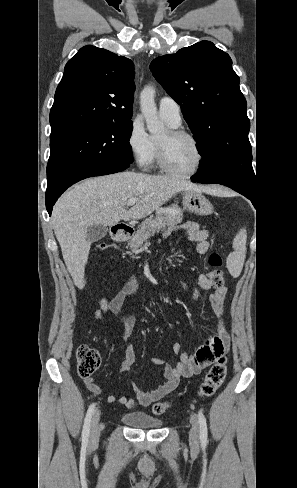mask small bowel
I'll use <instances>...</instances> for the list:
<instances>
[{"label":"small bowel","mask_w":297,"mask_h":488,"mask_svg":"<svg viewBox=\"0 0 297 488\" xmlns=\"http://www.w3.org/2000/svg\"><path fill=\"white\" fill-rule=\"evenodd\" d=\"M176 230H182L186 233L187 238L191 242L197 243L196 250L199 254H206L210 248L208 242V232L192 221H187L179 227H168L164 232V237H168ZM139 284L135 277H131L121 290L111 299L108 304V309L114 314H119L123 322V331L121 341L125 346V357L120 365L122 372H127L130 366L135 362V351L133 345L129 342L128 337L133 333L136 327V319L130 314L121 313L124 303L128 298L133 296L138 290ZM200 290L210 291L207 296V301L214 313L213 326L216 332L210 335L208 339L200 346L194 354L180 351L178 343L173 345V352L179 354V359L175 364H169L162 358L154 357L151 359L153 365H163L164 374L163 383L156 389L145 392L140 390L137 385L132 382V388L135 392V397H117L110 395L102 397L103 389L98 385L93 377L84 378V383L87 389L94 395L100 396L101 399L107 403H119L128 408L135 406H148L163 397L172 393L178 386L181 378H190L199 375L207 367L214 364L227 350L230 339L224 326V301L226 297V289L216 288L210 277L206 274H201L198 277L197 285L192 287L191 296L197 300L200 298ZM105 314L102 311H97L95 319L102 321Z\"/></svg>","instance_id":"obj_1"}]
</instances>
